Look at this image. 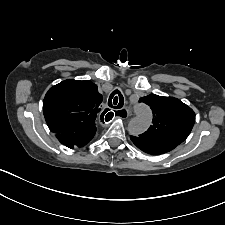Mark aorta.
Returning a JSON list of instances; mask_svg holds the SVG:
<instances>
[{"label": "aorta", "mask_w": 225, "mask_h": 225, "mask_svg": "<svg viewBox=\"0 0 225 225\" xmlns=\"http://www.w3.org/2000/svg\"><path fill=\"white\" fill-rule=\"evenodd\" d=\"M132 107L136 116L129 122L128 131L131 135H139L149 128L152 121V113L150 108L143 103H134Z\"/></svg>", "instance_id": "obj_1"}]
</instances>
